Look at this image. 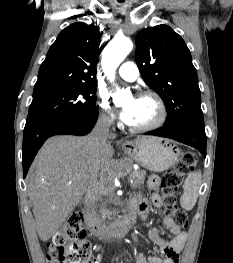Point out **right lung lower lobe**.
<instances>
[{
  "instance_id": "98d812e1",
  "label": "right lung lower lobe",
  "mask_w": 233,
  "mask_h": 263,
  "mask_svg": "<svg viewBox=\"0 0 233 263\" xmlns=\"http://www.w3.org/2000/svg\"><path fill=\"white\" fill-rule=\"evenodd\" d=\"M98 117L97 109L79 116L61 117L42 122L24 129L22 164L24 177L44 141L59 134L86 135L94 127Z\"/></svg>"
}]
</instances>
